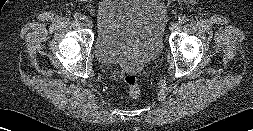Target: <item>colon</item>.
<instances>
[{"mask_svg": "<svg viewBox=\"0 0 253 131\" xmlns=\"http://www.w3.org/2000/svg\"><path fill=\"white\" fill-rule=\"evenodd\" d=\"M123 81L128 95L132 98H137L140 95V87L137 76L134 73H127L125 74Z\"/></svg>", "mask_w": 253, "mask_h": 131, "instance_id": "obj_1", "label": "colon"}]
</instances>
